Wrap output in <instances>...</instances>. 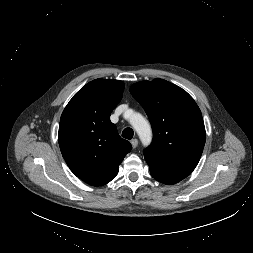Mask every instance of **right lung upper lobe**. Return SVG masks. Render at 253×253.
Returning a JSON list of instances; mask_svg holds the SVG:
<instances>
[{
	"label": "right lung upper lobe",
	"instance_id": "cb5924a9",
	"mask_svg": "<svg viewBox=\"0 0 253 253\" xmlns=\"http://www.w3.org/2000/svg\"><path fill=\"white\" fill-rule=\"evenodd\" d=\"M123 90L122 81L95 79L73 96L61 115V153L70 170L89 185L102 186L114 179L132 149L110 121Z\"/></svg>",
	"mask_w": 253,
	"mask_h": 253
}]
</instances>
